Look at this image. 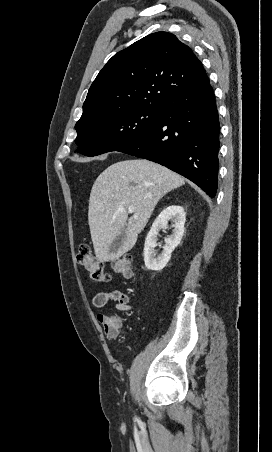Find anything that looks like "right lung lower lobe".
<instances>
[{"mask_svg": "<svg viewBox=\"0 0 272 452\" xmlns=\"http://www.w3.org/2000/svg\"><path fill=\"white\" fill-rule=\"evenodd\" d=\"M219 132L215 95L208 81L162 108L149 130L118 151L166 166L214 198Z\"/></svg>", "mask_w": 272, "mask_h": 452, "instance_id": "right-lung-lower-lobe-1", "label": "right lung lower lobe"}]
</instances>
